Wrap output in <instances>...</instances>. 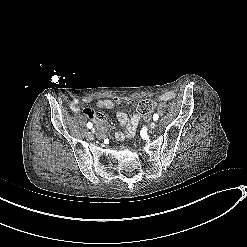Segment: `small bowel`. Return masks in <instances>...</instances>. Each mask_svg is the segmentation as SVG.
<instances>
[{
  "instance_id": "1",
  "label": "small bowel",
  "mask_w": 247,
  "mask_h": 247,
  "mask_svg": "<svg viewBox=\"0 0 247 247\" xmlns=\"http://www.w3.org/2000/svg\"><path fill=\"white\" fill-rule=\"evenodd\" d=\"M175 97L174 92H166L162 94L159 97L160 101H169L172 100ZM93 97H86L82 101L84 102H90L93 101ZM131 102L132 100L130 98H125V97H114L113 99H98L96 100V105L98 108L101 109H114L117 105H119L122 102ZM71 110L75 114L79 113H84L88 118L90 119H96L97 122L102 123L106 119V115L104 112L99 111L96 113H91L90 109H81V100L80 99H74L72 104H71ZM118 122L120 125L123 127V131L116 132L115 137L117 140H125L127 138H131L135 135L138 126L140 124L141 117L139 114H133L131 117H128V115L120 111L116 115ZM145 119H149V116H146Z\"/></svg>"
}]
</instances>
